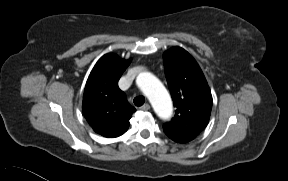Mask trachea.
<instances>
[{
  "label": "trachea",
  "instance_id": "1",
  "mask_svg": "<svg viewBox=\"0 0 288 181\" xmlns=\"http://www.w3.org/2000/svg\"><path fill=\"white\" fill-rule=\"evenodd\" d=\"M133 101L136 106H142L145 103V98L144 96H137Z\"/></svg>",
  "mask_w": 288,
  "mask_h": 181
}]
</instances>
